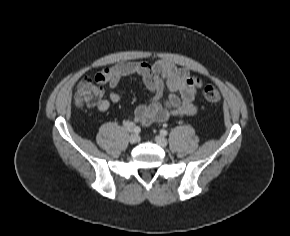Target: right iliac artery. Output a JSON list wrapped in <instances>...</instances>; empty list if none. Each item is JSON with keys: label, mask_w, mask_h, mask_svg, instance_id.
Wrapping results in <instances>:
<instances>
[{"label": "right iliac artery", "mask_w": 290, "mask_h": 236, "mask_svg": "<svg viewBox=\"0 0 290 236\" xmlns=\"http://www.w3.org/2000/svg\"><path fill=\"white\" fill-rule=\"evenodd\" d=\"M136 134L140 133L141 129L140 127L136 126V128L133 130Z\"/></svg>", "instance_id": "obj_1"}]
</instances>
